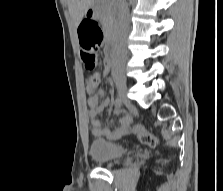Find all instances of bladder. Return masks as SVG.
<instances>
[{
    "mask_svg": "<svg viewBox=\"0 0 223 191\" xmlns=\"http://www.w3.org/2000/svg\"><path fill=\"white\" fill-rule=\"evenodd\" d=\"M89 153L94 161L108 164L124 156L126 147L121 143L95 139L90 144Z\"/></svg>",
    "mask_w": 223,
    "mask_h": 191,
    "instance_id": "bladder-1",
    "label": "bladder"
}]
</instances>
